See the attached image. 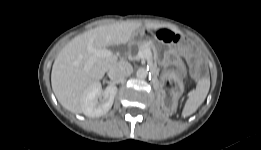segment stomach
Masks as SVG:
<instances>
[{
  "label": "stomach",
  "mask_w": 261,
  "mask_h": 150,
  "mask_svg": "<svg viewBox=\"0 0 261 150\" xmlns=\"http://www.w3.org/2000/svg\"><path fill=\"white\" fill-rule=\"evenodd\" d=\"M173 74L174 71L172 69H168V68L165 69V75H173Z\"/></svg>",
  "instance_id": "0dacf381"
}]
</instances>
